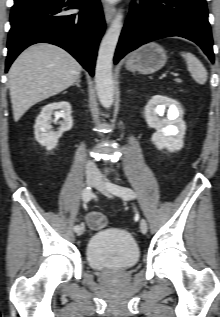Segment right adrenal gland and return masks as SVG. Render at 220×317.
<instances>
[{"label":"right adrenal gland","mask_w":220,"mask_h":317,"mask_svg":"<svg viewBox=\"0 0 220 317\" xmlns=\"http://www.w3.org/2000/svg\"><path fill=\"white\" fill-rule=\"evenodd\" d=\"M80 81H81V77H79L76 81H75V83L73 84V85H76L77 87H81L80 86Z\"/></svg>","instance_id":"1"}]
</instances>
